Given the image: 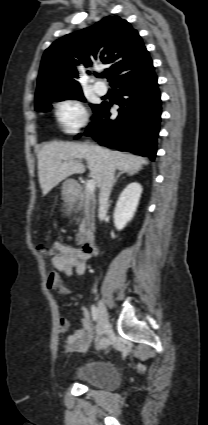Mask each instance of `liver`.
Instances as JSON below:
<instances>
[{
    "label": "liver",
    "instance_id": "obj_1",
    "mask_svg": "<svg viewBox=\"0 0 208 425\" xmlns=\"http://www.w3.org/2000/svg\"><path fill=\"white\" fill-rule=\"evenodd\" d=\"M38 177L45 196L65 178L83 173L85 166L76 159H85L90 175L98 187L101 186L107 161H113L120 171L138 172L148 161L140 156L111 151L86 143L51 142L44 145L37 154Z\"/></svg>",
    "mask_w": 208,
    "mask_h": 425
}]
</instances>
